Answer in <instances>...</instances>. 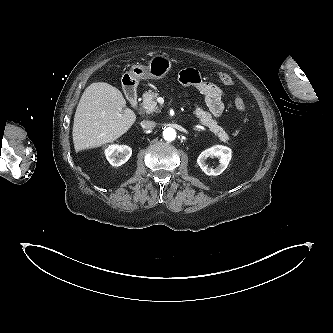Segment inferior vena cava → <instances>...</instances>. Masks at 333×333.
<instances>
[{"mask_svg":"<svg viewBox=\"0 0 333 333\" xmlns=\"http://www.w3.org/2000/svg\"><path fill=\"white\" fill-rule=\"evenodd\" d=\"M141 126L144 129H152V128H154L156 126V123L153 122V121H150V120H143L141 122Z\"/></svg>","mask_w":333,"mask_h":333,"instance_id":"inferior-vena-cava-1","label":"inferior vena cava"}]
</instances>
